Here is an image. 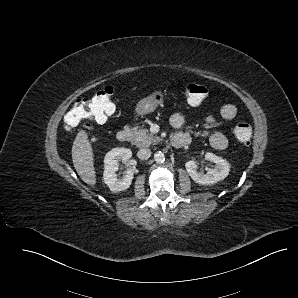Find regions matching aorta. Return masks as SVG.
<instances>
[{"mask_svg":"<svg viewBox=\"0 0 298 298\" xmlns=\"http://www.w3.org/2000/svg\"><path fill=\"white\" fill-rule=\"evenodd\" d=\"M164 159H165V156H164L163 152L158 151V152L154 153V160L156 162H162V161H164Z\"/></svg>","mask_w":298,"mask_h":298,"instance_id":"1","label":"aorta"}]
</instances>
